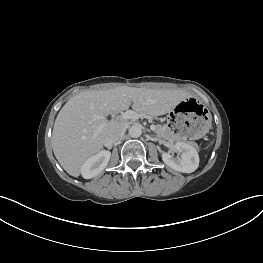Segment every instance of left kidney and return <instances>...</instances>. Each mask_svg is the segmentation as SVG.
<instances>
[{"instance_id":"1","label":"left kidney","mask_w":263,"mask_h":263,"mask_svg":"<svg viewBox=\"0 0 263 263\" xmlns=\"http://www.w3.org/2000/svg\"><path fill=\"white\" fill-rule=\"evenodd\" d=\"M174 147L180 157L175 158L169 153L163 152V162L170 168L182 173L194 172L199 166V155L197 150L184 142H177Z\"/></svg>"}]
</instances>
